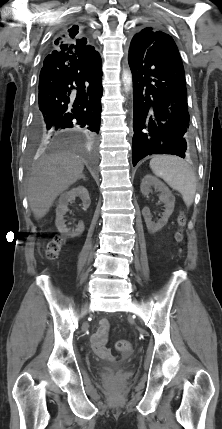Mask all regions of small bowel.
<instances>
[{"label": "small bowel", "mask_w": 222, "mask_h": 429, "mask_svg": "<svg viewBox=\"0 0 222 429\" xmlns=\"http://www.w3.org/2000/svg\"><path fill=\"white\" fill-rule=\"evenodd\" d=\"M109 323L106 319H102L97 330L93 333L90 339L91 347L94 353L102 359H113L110 348L107 347Z\"/></svg>", "instance_id": "1"}]
</instances>
